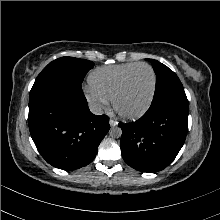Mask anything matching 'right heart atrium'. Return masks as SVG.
<instances>
[{
  "label": "right heart atrium",
  "mask_w": 220,
  "mask_h": 220,
  "mask_svg": "<svg viewBox=\"0 0 220 220\" xmlns=\"http://www.w3.org/2000/svg\"><path fill=\"white\" fill-rule=\"evenodd\" d=\"M85 96L87 101L95 111L100 112L104 110L108 105V100L91 88L86 89Z\"/></svg>",
  "instance_id": "d8ad5b80"
}]
</instances>
